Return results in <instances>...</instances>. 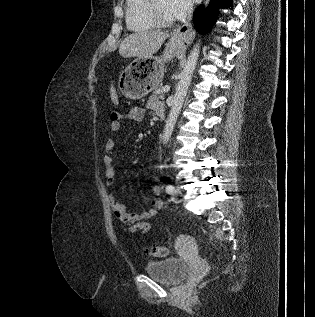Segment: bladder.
<instances>
[{
  "instance_id": "31cf9c89",
  "label": "bladder",
  "mask_w": 315,
  "mask_h": 317,
  "mask_svg": "<svg viewBox=\"0 0 315 317\" xmlns=\"http://www.w3.org/2000/svg\"><path fill=\"white\" fill-rule=\"evenodd\" d=\"M145 271L163 283L177 284L186 277L187 265L180 258H167L147 262Z\"/></svg>"
}]
</instances>
